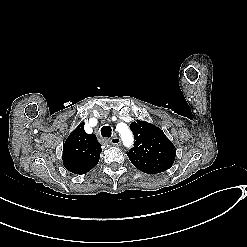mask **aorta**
Masks as SVG:
<instances>
[{"mask_svg": "<svg viewBox=\"0 0 247 247\" xmlns=\"http://www.w3.org/2000/svg\"><path fill=\"white\" fill-rule=\"evenodd\" d=\"M121 138H122L123 143L126 146L130 145L133 141L132 134L130 133L129 129H127V128L121 132Z\"/></svg>", "mask_w": 247, "mask_h": 247, "instance_id": "762f6f07", "label": "aorta"}]
</instances>
